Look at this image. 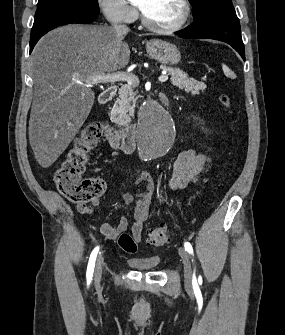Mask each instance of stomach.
<instances>
[{
    "label": "stomach",
    "mask_w": 285,
    "mask_h": 335,
    "mask_svg": "<svg viewBox=\"0 0 285 335\" xmlns=\"http://www.w3.org/2000/svg\"><path fill=\"white\" fill-rule=\"evenodd\" d=\"M146 52L150 58L157 60L162 66H174L181 60L177 46L163 40H149L146 44Z\"/></svg>",
    "instance_id": "obj_1"
}]
</instances>
